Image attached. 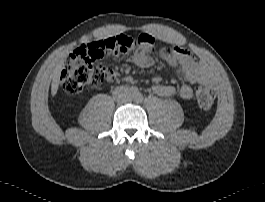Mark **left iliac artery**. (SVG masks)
Wrapping results in <instances>:
<instances>
[{"label": "left iliac artery", "mask_w": 265, "mask_h": 202, "mask_svg": "<svg viewBox=\"0 0 265 202\" xmlns=\"http://www.w3.org/2000/svg\"><path fill=\"white\" fill-rule=\"evenodd\" d=\"M137 100L138 101H142L143 100V96L142 95H138Z\"/></svg>", "instance_id": "1"}]
</instances>
